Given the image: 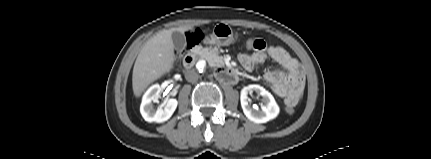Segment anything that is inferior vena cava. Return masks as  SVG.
<instances>
[{
    "label": "inferior vena cava",
    "instance_id": "inferior-vena-cava-1",
    "mask_svg": "<svg viewBox=\"0 0 431 159\" xmlns=\"http://www.w3.org/2000/svg\"><path fill=\"white\" fill-rule=\"evenodd\" d=\"M185 78L188 82L195 83L198 81L199 75L194 69L187 70Z\"/></svg>",
    "mask_w": 431,
    "mask_h": 159
}]
</instances>
